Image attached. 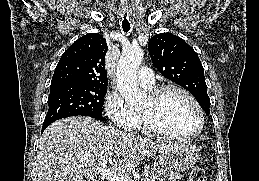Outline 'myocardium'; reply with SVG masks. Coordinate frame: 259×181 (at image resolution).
Here are the masks:
<instances>
[{"instance_id": "obj_1", "label": "myocardium", "mask_w": 259, "mask_h": 181, "mask_svg": "<svg viewBox=\"0 0 259 181\" xmlns=\"http://www.w3.org/2000/svg\"><path fill=\"white\" fill-rule=\"evenodd\" d=\"M170 91H177V92L183 94L192 103V105L194 106V108L197 112V116H198V122H197L196 127L192 131L185 132V133L164 131V130H161V129L153 126L152 123L150 122L148 116L145 115L144 113L140 112L139 113L140 120H141L144 130L151 135L158 136V137H165V138L187 139V138L196 136L197 134H199L201 132V130L204 126V112H203L201 105L199 104V102L193 96L192 93H190L187 89H185L179 85L166 84V85H162V86L154 89L149 94V98L152 102H157L163 95H165L167 92H170Z\"/></svg>"}]
</instances>
